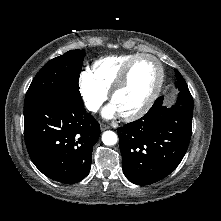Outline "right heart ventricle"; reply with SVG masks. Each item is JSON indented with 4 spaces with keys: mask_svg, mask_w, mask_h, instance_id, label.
Returning a JSON list of instances; mask_svg holds the SVG:
<instances>
[{
    "mask_svg": "<svg viewBox=\"0 0 221 221\" xmlns=\"http://www.w3.org/2000/svg\"><path fill=\"white\" fill-rule=\"evenodd\" d=\"M137 55L139 54L129 53L100 58L93 63L91 74L95 81L109 92L123 67Z\"/></svg>",
    "mask_w": 221,
    "mask_h": 221,
    "instance_id": "obj_1",
    "label": "right heart ventricle"
}]
</instances>
